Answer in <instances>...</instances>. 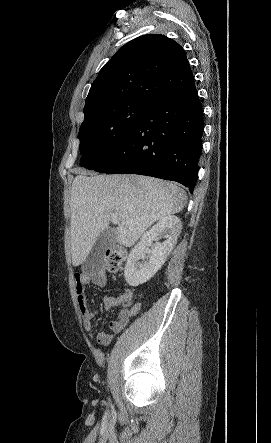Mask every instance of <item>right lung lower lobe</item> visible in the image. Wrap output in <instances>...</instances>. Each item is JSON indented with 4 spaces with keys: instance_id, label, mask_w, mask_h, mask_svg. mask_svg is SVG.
I'll list each match as a JSON object with an SVG mask.
<instances>
[{
    "instance_id": "obj_1",
    "label": "right lung lower lobe",
    "mask_w": 271,
    "mask_h": 443,
    "mask_svg": "<svg viewBox=\"0 0 271 443\" xmlns=\"http://www.w3.org/2000/svg\"><path fill=\"white\" fill-rule=\"evenodd\" d=\"M203 108L195 83L153 100L97 172L172 180L193 191L202 149Z\"/></svg>"
}]
</instances>
